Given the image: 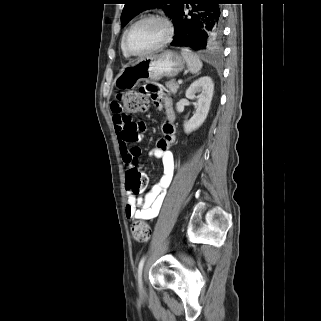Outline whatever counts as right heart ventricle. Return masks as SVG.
I'll return each instance as SVG.
<instances>
[{"label":"right heart ventricle","instance_id":"e07e8e85","mask_svg":"<svg viewBox=\"0 0 321 321\" xmlns=\"http://www.w3.org/2000/svg\"><path fill=\"white\" fill-rule=\"evenodd\" d=\"M121 47H122V43H121ZM123 54L125 57H128V55L124 52L123 48H122Z\"/></svg>","mask_w":321,"mask_h":321}]
</instances>
